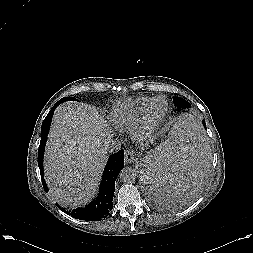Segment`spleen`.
<instances>
[{
  "label": "spleen",
  "instance_id": "1",
  "mask_svg": "<svg viewBox=\"0 0 253 253\" xmlns=\"http://www.w3.org/2000/svg\"><path fill=\"white\" fill-rule=\"evenodd\" d=\"M200 124L193 119L173 123L146 161L142 183L156 200L175 205L188 200L206 178L208 155Z\"/></svg>",
  "mask_w": 253,
  "mask_h": 253
}]
</instances>
